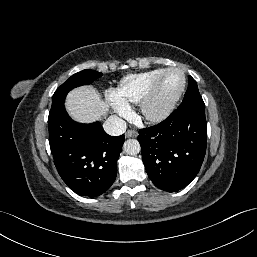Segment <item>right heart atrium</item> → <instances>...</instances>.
Here are the masks:
<instances>
[{
	"label": "right heart atrium",
	"mask_w": 257,
	"mask_h": 257,
	"mask_svg": "<svg viewBox=\"0 0 257 257\" xmlns=\"http://www.w3.org/2000/svg\"><path fill=\"white\" fill-rule=\"evenodd\" d=\"M116 111H117V112H118V114H119L120 116H122V117L127 118V117H129V116H130V110H129V109H127V108L119 107V106L117 105V107H116Z\"/></svg>",
	"instance_id": "obj_1"
}]
</instances>
